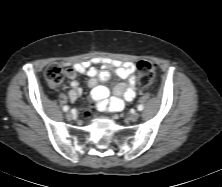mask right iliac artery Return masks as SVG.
Masks as SVG:
<instances>
[{"mask_svg":"<svg viewBox=\"0 0 222 187\" xmlns=\"http://www.w3.org/2000/svg\"><path fill=\"white\" fill-rule=\"evenodd\" d=\"M68 110H69V107H68V106H64V107H63V111L66 112V111H68Z\"/></svg>","mask_w":222,"mask_h":187,"instance_id":"1","label":"right iliac artery"}]
</instances>
